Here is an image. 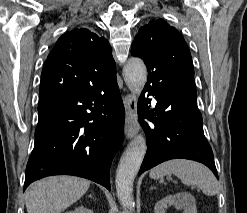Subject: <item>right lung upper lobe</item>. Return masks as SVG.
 Here are the masks:
<instances>
[{
  "label": "right lung upper lobe",
  "mask_w": 247,
  "mask_h": 213,
  "mask_svg": "<svg viewBox=\"0 0 247 213\" xmlns=\"http://www.w3.org/2000/svg\"><path fill=\"white\" fill-rule=\"evenodd\" d=\"M116 76L109 42L87 28L63 34L48 55L41 74L40 101L55 94L99 85Z\"/></svg>",
  "instance_id": "right-lung-upper-lobe-1"
}]
</instances>
